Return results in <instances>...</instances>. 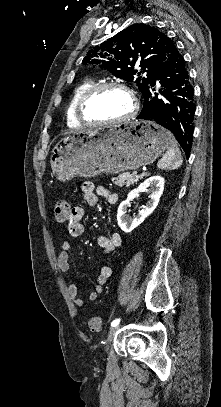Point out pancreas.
<instances>
[{
    "instance_id": "1",
    "label": "pancreas",
    "mask_w": 221,
    "mask_h": 407,
    "mask_svg": "<svg viewBox=\"0 0 221 407\" xmlns=\"http://www.w3.org/2000/svg\"><path fill=\"white\" fill-rule=\"evenodd\" d=\"M142 176H137L134 174H130L129 172L120 174L117 177L112 178V181L114 182L115 185L123 187H129L130 185H133L134 183L138 182L139 179H141Z\"/></svg>"
}]
</instances>
